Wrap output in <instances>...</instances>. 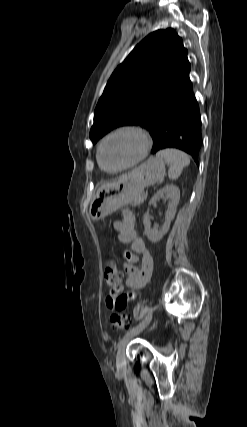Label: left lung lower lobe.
I'll return each mask as SVG.
<instances>
[{
  "label": "left lung lower lobe",
  "instance_id": "left-lung-lower-lobe-1",
  "mask_svg": "<svg viewBox=\"0 0 247 427\" xmlns=\"http://www.w3.org/2000/svg\"><path fill=\"white\" fill-rule=\"evenodd\" d=\"M154 140L152 154L178 148L190 154L198 165L202 145L199 106L190 84L168 100L149 126Z\"/></svg>",
  "mask_w": 247,
  "mask_h": 427
}]
</instances>
